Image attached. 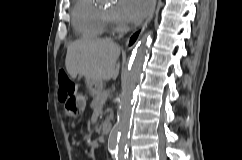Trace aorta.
<instances>
[{
    "mask_svg": "<svg viewBox=\"0 0 242 160\" xmlns=\"http://www.w3.org/2000/svg\"><path fill=\"white\" fill-rule=\"evenodd\" d=\"M150 42V32L145 33L132 55L130 68L122 78V95L119 102L120 112L117 123L108 138V149L115 153L116 160H126L127 143L130 135L133 95L141 79Z\"/></svg>",
    "mask_w": 242,
    "mask_h": 160,
    "instance_id": "762f6f07",
    "label": "aorta"
}]
</instances>
